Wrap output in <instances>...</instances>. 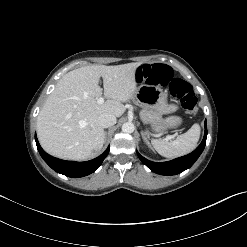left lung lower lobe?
Masks as SVG:
<instances>
[{
	"label": "left lung lower lobe",
	"mask_w": 247,
	"mask_h": 247,
	"mask_svg": "<svg viewBox=\"0 0 247 247\" xmlns=\"http://www.w3.org/2000/svg\"><path fill=\"white\" fill-rule=\"evenodd\" d=\"M206 138H207V125L205 121V133L204 138L201 144L188 155L176 158L171 161L167 162H152L141 156L139 153L138 157L140 160L153 172L160 174V175H176L179 174L186 169L190 168L198 157L201 155L204 147L206 145Z\"/></svg>",
	"instance_id": "obj_1"
}]
</instances>
